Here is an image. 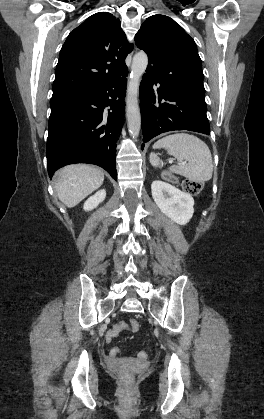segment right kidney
<instances>
[{
  "instance_id": "ca27d5eb",
  "label": "right kidney",
  "mask_w": 264,
  "mask_h": 419,
  "mask_svg": "<svg viewBox=\"0 0 264 419\" xmlns=\"http://www.w3.org/2000/svg\"><path fill=\"white\" fill-rule=\"evenodd\" d=\"M105 197L106 191L104 189L99 190L85 201L83 206L84 210L91 211L92 209L96 208L101 202L104 201Z\"/></svg>"
}]
</instances>
